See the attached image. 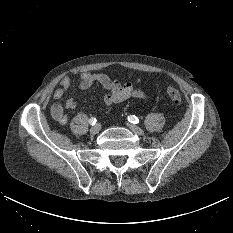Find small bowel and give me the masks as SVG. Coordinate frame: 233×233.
Masks as SVG:
<instances>
[{
    "instance_id": "c3829d8e",
    "label": "small bowel",
    "mask_w": 233,
    "mask_h": 233,
    "mask_svg": "<svg viewBox=\"0 0 233 233\" xmlns=\"http://www.w3.org/2000/svg\"><path fill=\"white\" fill-rule=\"evenodd\" d=\"M127 78V82L121 83L105 73L83 72L80 75L79 87L81 90H87L94 83L102 85L107 90L103 97V104L107 108L131 98L145 99L146 94L140 87L142 80L133 73L128 74ZM70 86L71 80L68 77H64L59 81L58 88L52 94L55 102L51 107V116L61 125H65L68 122L65 109L74 110L76 108V101L73 98L67 99L65 104L59 102Z\"/></svg>"
}]
</instances>
